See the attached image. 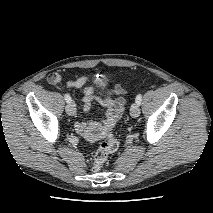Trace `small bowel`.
<instances>
[{
  "mask_svg": "<svg viewBox=\"0 0 213 213\" xmlns=\"http://www.w3.org/2000/svg\"><path fill=\"white\" fill-rule=\"evenodd\" d=\"M48 82L52 85H56L62 82V78L59 74L53 73L48 77ZM66 85L71 88H83L81 101L83 104V111L88 113L94 101L97 99L96 90L91 85L89 78L81 76L75 80L67 81ZM112 91L115 93H122L119 87H115ZM105 104L108 105V110L103 121H77L75 123L76 131L89 141H95L103 137L105 130L108 127H112L117 122L123 112L125 101L120 98L114 103H110L109 100H106Z\"/></svg>",
  "mask_w": 213,
  "mask_h": 213,
  "instance_id": "1",
  "label": "small bowel"
}]
</instances>
